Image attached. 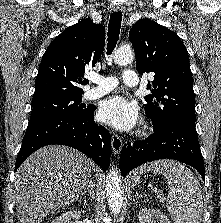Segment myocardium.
I'll return each mask as SVG.
<instances>
[{
  "instance_id": "obj_1",
  "label": "myocardium",
  "mask_w": 221,
  "mask_h": 223,
  "mask_svg": "<svg viewBox=\"0 0 221 223\" xmlns=\"http://www.w3.org/2000/svg\"><path fill=\"white\" fill-rule=\"evenodd\" d=\"M146 131H147V130L145 129L143 133H146Z\"/></svg>"
}]
</instances>
